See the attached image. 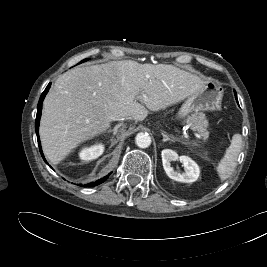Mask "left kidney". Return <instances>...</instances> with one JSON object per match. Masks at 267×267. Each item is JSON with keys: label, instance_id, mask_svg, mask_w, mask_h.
<instances>
[{"label": "left kidney", "instance_id": "left-kidney-1", "mask_svg": "<svg viewBox=\"0 0 267 267\" xmlns=\"http://www.w3.org/2000/svg\"><path fill=\"white\" fill-rule=\"evenodd\" d=\"M163 168L169 178L183 183H192L196 181L200 174L199 166L188 156H178V154L170 149H164L161 152ZM180 160L184 166V172L179 173L171 167V162Z\"/></svg>", "mask_w": 267, "mask_h": 267}]
</instances>
